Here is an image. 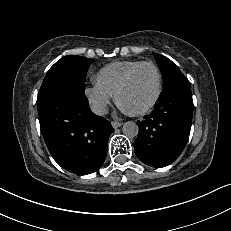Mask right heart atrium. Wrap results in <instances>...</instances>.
<instances>
[{"instance_id": "obj_1", "label": "right heart atrium", "mask_w": 231, "mask_h": 231, "mask_svg": "<svg viewBox=\"0 0 231 231\" xmlns=\"http://www.w3.org/2000/svg\"><path fill=\"white\" fill-rule=\"evenodd\" d=\"M84 94L95 113L104 115L111 103L112 95L96 83L87 86Z\"/></svg>"}]
</instances>
